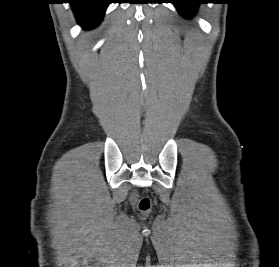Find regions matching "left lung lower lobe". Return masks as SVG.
Returning <instances> with one entry per match:
<instances>
[{"label":"left lung lower lobe","instance_id":"obj_1","mask_svg":"<svg viewBox=\"0 0 279 267\" xmlns=\"http://www.w3.org/2000/svg\"><path fill=\"white\" fill-rule=\"evenodd\" d=\"M178 11L184 16H191L194 14L197 5L203 3L201 0H173L172 2Z\"/></svg>","mask_w":279,"mask_h":267}]
</instances>
